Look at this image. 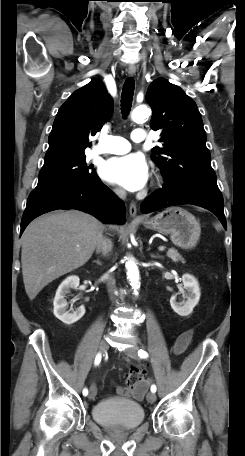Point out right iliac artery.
<instances>
[{
	"label": "right iliac artery",
	"mask_w": 245,
	"mask_h": 456,
	"mask_svg": "<svg viewBox=\"0 0 245 456\" xmlns=\"http://www.w3.org/2000/svg\"><path fill=\"white\" fill-rule=\"evenodd\" d=\"M101 358H102L101 354L98 353V354L96 355L94 364H95V365H98V364L101 362ZM82 393H83L84 396H87V395H88V389H87V388H84Z\"/></svg>",
	"instance_id": "right-iliac-artery-1"
}]
</instances>
